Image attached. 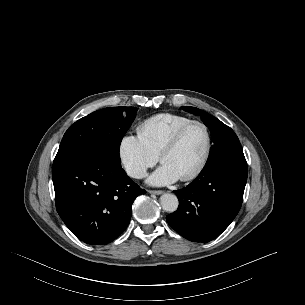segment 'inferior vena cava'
Segmentation results:
<instances>
[{"label":"inferior vena cava","instance_id":"1","mask_svg":"<svg viewBox=\"0 0 305 305\" xmlns=\"http://www.w3.org/2000/svg\"><path fill=\"white\" fill-rule=\"evenodd\" d=\"M126 172L129 176L137 179L144 178L146 175L145 169L139 166H130L126 168Z\"/></svg>","mask_w":305,"mask_h":305}]
</instances>
